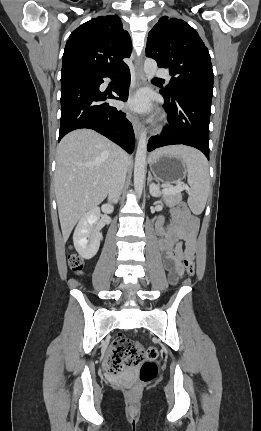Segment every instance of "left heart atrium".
Wrapping results in <instances>:
<instances>
[{"instance_id":"39dd6f15","label":"left heart atrium","mask_w":261,"mask_h":431,"mask_svg":"<svg viewBox=\"0 0 261 431\" xmlns=\"http://www.w3.org/2000/svg\"><path fill=\"white\" fill-rule=\"evenodd\" d=\"M128 106L139 111L146 110L148 108L147 95L145 93L136 94L130 99Z\"/></svg>"}]
</instances>
